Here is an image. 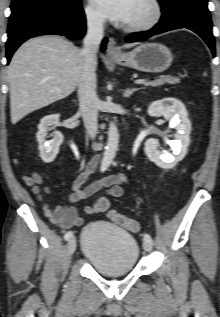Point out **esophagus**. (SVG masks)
Instances as JSON below:
<instances>
[{
    "label": "esophagus",
    "mask_w": 220,
    "mask_h": 317,
    "mask_svg": "<svg viewBox=\"0 0 220 317\" xmlns=\"http://www.w3.org/2000/svg\"><path fill=\"white\" fill-rule=\"evenodd\" d=\"M120 55V50L116 46V41L114 38H109L108 46H107V56L108 57H116Z\"/></svg>",
    "instance_id": "esophagus-1"
}]
</instances>
